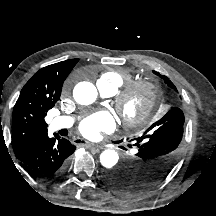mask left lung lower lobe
<instances>
[{
	"instance_id": "obj_1",
	"label": "left lung lower lobe",
	"mask_w": 216,
	"mask_h": 216,
	"mask_svg": "<svg viewBox=\"0 0 216 216\" xmlns=\"http://www.w3.org/2000/svg\"><path fill=\"white\" fill-rule=\"evenodd\" d=\"M123 166H125V162L123 163V165L121 166V169L119 170V171H115V172H108L105 176H104V178H103V180H104V182L109 186V187H111L109 184H108V181L110 180V179H112L113 177H115L116 175H120L121 173H123L124 172V168H123ZM112 188V187H111ZM113 189V188H112ZM114 190V189H113ZM117 192V191H116ZM120 194V193H119ZM122 195V194H121Z\"/></svg>"
}]
</instances>
